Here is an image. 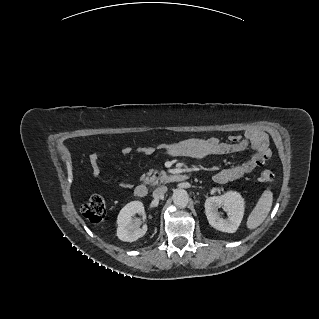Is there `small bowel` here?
I'll return each mask as SVG.
<instances>
[{
    "instance_id": "obj_1",
    "label": "small bowel",
    "mask_w": 319,
    "mask_h": 319,
    "mask_svg": "<svg viewBox=\"0 0 319 319\" xmlns=\"http://www.w3.org/2000/svg\"><path fill=\"white\" fill-rule=\"evenodd\" d=\"M267 145V137L264 132L249 131L245 137L232 135L228 141H222L215 137L209 138H191L173 143H162L156 145H143L139 148V152L143 156H151L157 150H164L172 157H187L194 159H204L212 156H220L232 153H238L252 148L255 153L244 162L233 165L217 171L213 175V180L217 183H227L237 180L245 174L253 172L256 168L262 166L266 162V157L262 154V148ZM131 147L125 146L121 153L124 156L130 155ZM92 175L95 179H102V170L99 165L98 154L93 153L89 157ZM118 185L121 188H130L131 183L120 181Z\"/></svg>"
}]
</instances>
